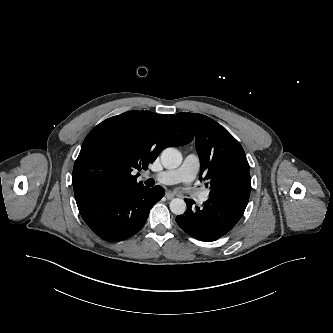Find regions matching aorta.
Returning a JSON list of instances; mask_svg holds the SVG:
<instances>
[{
    "label": "aorta",
    "instance_id": "762f6f07",
    "mask_svg": "<svg viewBox=\"0 0 333 333\" xmlns=\"http://www.w3.org/2000/svg\"><path fill=\"white\" fill-rule=\"evenodd\" d=\"M161 162L166 169H175L182 163L181 153L173 148L169 147L162 151ZM170 210L175 215H181L186 211V203L183 199L175 198L170 202Z\"/></svg>",
    "mask_w": 333,
    "mask_h": 333
}]
</instances>
